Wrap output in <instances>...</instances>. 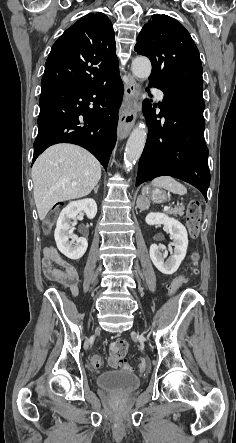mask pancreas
Listing matches in <instances>:
<instances>
[{
	"label": "pancreas",
	"mask_w": 236,
	"mask_h": 443,
	"mask_svg": "<svg viewBox=\"0 0 236 443\" xmlns=\"http://www.w3.org/2000/svg\"><path fill=\"white\" fill-rule=\"evenodd\" d=\"M169 213L173 214L175 216H180L181 217L184 214V207L183 206H179V207H176V208H172V209L169 210Z\"/></svg>",
	"instance_id": "1"
}]
</instances>
